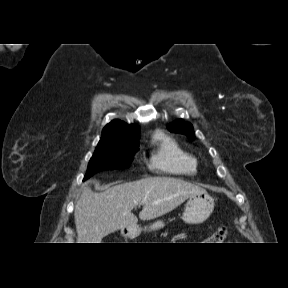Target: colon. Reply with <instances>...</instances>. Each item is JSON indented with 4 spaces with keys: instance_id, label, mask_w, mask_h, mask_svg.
I'll return each mask as SVG.
<instances>
[{
    "instance_id": "obj_1",
    "label": "colon",
    "mask_w": 288,
    "mask_h": 288,
    "mask_svg": "<svg viewBox=\"0 0 288 288\" xmlns=\"http://www.w3.org/2000/svg\"><path fill=\"white\" fill-rule=\"evenodd\" d=\"M228 230L225 225H219L215 232L209 237L211 243H222L227 237Z\"/></svg>"
}]
</instances>
